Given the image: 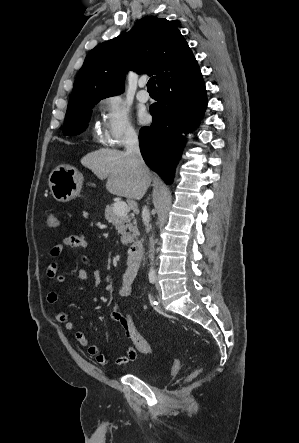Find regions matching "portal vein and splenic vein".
Listing matches in <instances>:
<instances>
[{
	"mask_svg": "<svg viewBox=\"0 0 299 443\" xmlns=\"http://www.w3.org/2000/svg\"><path fill=\"white\" fill-rule=\"evenodd\" d=\"M113 210L116 215L123 216L129 211V208L125 202L120 201L114 204Z\"/></svg>",
	"mask_w": 299,
	"mask_h": 443,
	"instance_id": "18ae733b",
	"label": "portal vein and splenic vein"
}]
</instances>
